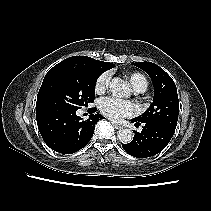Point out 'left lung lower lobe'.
I'll use <instances>...</instances> for the list:
<instances>
[{"instance_id":"obj_1","label":"left lung lower lobe","mask_w":211,"mask_h":211,"mask_svg":"<svg viewBox=\"0 0 211 211\" xmlns=\"http://www.w3.org/2000/svg\"><path fill=\"white\" fill-rule=\"evenodd\" d=\"M135 125L143 124L141 132H135L133 140L128 144H123V149L130 155L137 158H147L161 152L171 140L174 131L161 125L148 122H138L131 120Z\"/></svg>"}]
</instances>
